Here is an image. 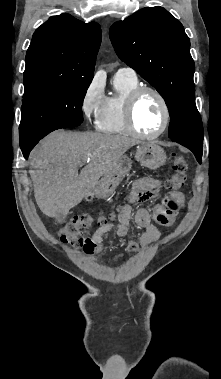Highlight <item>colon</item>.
I'll list each match as a JSON object with an SVG mask.
<instances>
[{
    "mask_svg": "<svg viewBox=\"0 0 221 379\" xmlns=\"http://www.w3.org/2000/svg\"><path fill=\"white\" fill-rule=\"evenodd\" d=\"M171 176L169 178L168 187L173 190H180L186 182V173L188 164L186 160L177 154H173V162L171 166ZM106 223V220L103 219ZM93 224V218L90 215L83 214L74 217L61 230L60 237L64 243L77 246H85L88 242L86 230Z\"/></svg>",
    "mask_w": 221,
    "mask_h": 379,
    "instance_id": "colon-1",
    "label": "colon"
}]
</instances>
